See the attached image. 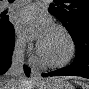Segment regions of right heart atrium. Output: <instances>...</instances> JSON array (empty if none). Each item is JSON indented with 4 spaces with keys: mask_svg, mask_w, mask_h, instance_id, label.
<instances>
[{
    "mask_svg": "<svg viewBox=\"0 0 89 89\" xmlns=\"http://www.w3.org/2000/svg\"><path fill=\"white\" fill-rule=\"evenodd\" d=\"M25 47V41L20 36L16 37L15 48L17 51H22Z\"/></svg>",
    "mask_w": 89,
    "mask_h": 89,
    "instance_id": "d8ad5b80",
    "label": "right heart atrium"
}]
</instances>
